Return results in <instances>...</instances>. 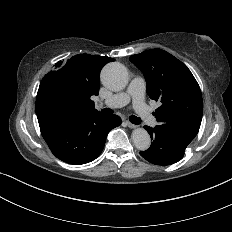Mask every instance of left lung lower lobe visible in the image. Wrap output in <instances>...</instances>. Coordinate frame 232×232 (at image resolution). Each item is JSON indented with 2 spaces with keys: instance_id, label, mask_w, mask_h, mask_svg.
Segmentation results:
<instances>
[{
  "instance_id": "0a47b994",
  "label": "left lung lower lobe",
  "mask_w": 232,
  "mask_h": 232,
  "mask_svg": "<svg viewBox=\"0 0 232 232\" xmlns=\"http://www.w3.org/2000/svg\"><path fill=\"white\" fill-rule=\"evenodd\" d=\"M144 128L153 140L148 150L140 152L144 159L156 165H170L183 158L188 144L157 128Z\"/></svg>"
}]
</instances>
